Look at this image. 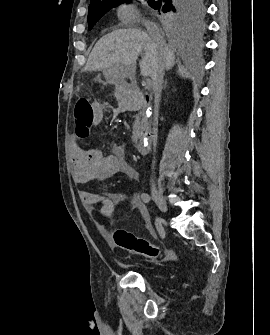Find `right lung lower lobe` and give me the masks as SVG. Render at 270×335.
I'll return each instance as SVG.
<instances>
[{
    "mask_svg": "<svg viewBox=\"0 0 270 335\" xmlns=\"http://www.w3.org/2000/svg\"><path fill=\"white\" fill-rule=\"evenodd\" d=\"M168 2H169V1H168V0H166V1H165V4H167ZM173 2H174V0H173Z\"/></svg>",
    "mask_w": 270,
    "mask_h": 335,
    "instance_id": "1",
    "label": "right lung lower lobe"
}]
</instances>
